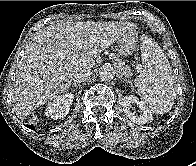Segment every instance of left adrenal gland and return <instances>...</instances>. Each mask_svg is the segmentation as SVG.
<instances>
[{
	"label": "left adrenal gland",
	"mask_w": 196,
	"mask_h": 166,
	"mask_svg": "<svg viewBox=\"0 0 196 166\" xmlns=\"http://www.w3.org/2000/svg\"><path fill=\"white\" fill-rule=\"evenodd\" d=\"M120 78L123 79L125 82H128V80L123 78L122 76H120Z\"/></svg>",
	"instance_id": "1"
}]
</instances>
